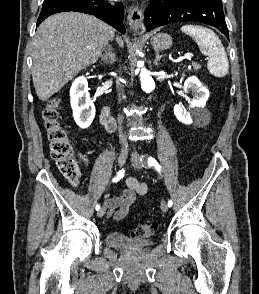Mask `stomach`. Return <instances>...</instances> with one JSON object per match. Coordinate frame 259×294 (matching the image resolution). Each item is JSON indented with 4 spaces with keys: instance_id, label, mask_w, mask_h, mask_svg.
Wrapping results in <instances>:
<instances>
[{
    "instance_id": "obj_1",
    "label": "stomach",
    "mask_w": 259,
    "mask_h": 294,
    "mask_svg": "<svg viewBox=\"0 0 259 294\" xmlns=\"http://www.w3.org/2000/svg\"><path fill=\"white\" fill-rule=\"evenodd\" d=\"M151 45L156 51L165 50L172 46V38L165 33H158L151 38Z\"/></svg>"
}]
</instances>
